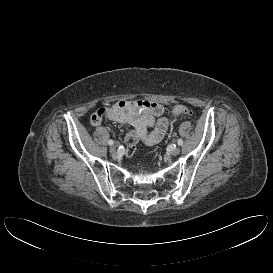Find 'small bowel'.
<instances>
[{
	"instance_id": "small-bowel-1",
	"label": "small bowel",
	"mask_w": 273,
	"mask_h": 273,
	"mask_svg": "<svg viewBox=\"0 0 273 273\" xmlns=\"http://www.w3.org/2000/svg\"><path fill=\"white\" fill-rule=\"evenodd\" d=\"M163 105L150 101H118L97 110L90 118L92 126H99L103 119L132 126L126 135V155L131 156L139 141L154 145L165 136L169 121L163 115ZM150 130V131H149Z\"/></svg>"
}]
</instances>
